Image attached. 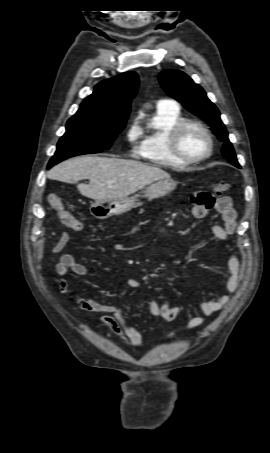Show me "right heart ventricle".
Wrapping results in <instances>:
<instances>
[{"instance_id": "right-heart-ventricle-1", "label": "right heart ventricle", "mask_w": 270, "mask_h": 453, "mask_svg": "<svg viewBox=\"0 0 270 453\" xmlns=\"http://www.w3.org/2000/svg\"><path fill=\"white\" fill-rule=\"evenodd\" d=\"M180 108L176 105L158 108L147 127L141 131V142L137 149L138 156L157 166L183 168L188 164L176 159L170 152L168 136L172 128L183 120Z\"/></svg>"}]
</instances>
